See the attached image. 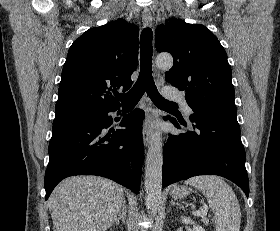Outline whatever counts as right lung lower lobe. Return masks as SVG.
<instances>
[{"label":"right lung lower lobe","mask_w":280,"mask_h":231,"mask_svg":"<svg viewBox=\"0 0 280 231\" xmlns=\"http://www.w3.org/2000/svg\"><path fill=\"white\" fill-rule=\"evenodd\" d=\"M112 108L53 122L49 163L45 172L46 200L55 186L73 175H98L139 193L144 159L142 121L144 112L135 109L116 130L104 137L103 129L113 123Z\"/></svg>","instance_id":"obj_1"}]
</instances>
